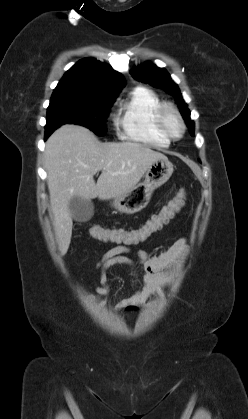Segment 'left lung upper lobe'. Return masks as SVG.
<instances>
[{
	"label": "left lung upper lobe",
	"mask_w": 248,
	"mask_h": 419,
	"mask_svg": "<svg viewBox=\"0 0 248 419\" xmlns=\"http://www.w3.org/2000/svg\"><path fill=\"white\" fill-rule=\"evenodd\" d=\"M131 75L144 83H148L155 87L166 90L175 97V101L179 106L180 112L188 126L189 132L194 136V122L190 119V111L187 104L184 103L180 90L171 79L170 75L164 68H159L150 62L145 63L139 68L132 69Z\"/></svg>",
	"instance_id": "5c2ea615"
}]
</instances>
